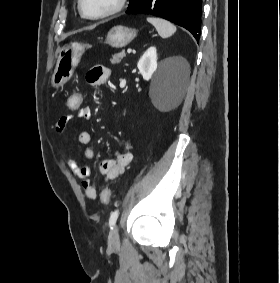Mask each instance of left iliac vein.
<instances>
[{
    "label": "left iliac vein",
    "instance_id": "left-iliac-vein-1",
    "mask_svg": "<svg viewBox=\"0 0 280 283\" xmlns=\"http://www.w3.org/2000/svg\"><path fill=\"white\" fill-rule=\"evenodd\" d=\"M108 245L111 248H116L120 245L119 229L117 225H115L109 232Z\"/></svg>",
    "mask_w": 280,
    "mask_h": 283
}]
</instances>
